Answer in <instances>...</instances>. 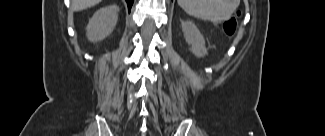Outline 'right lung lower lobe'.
<instances>
[{
  "mask_svg": "<svg viewBox=\"0 0 325 136\" xmlns=\"http://www.w3.org/2000/svg\"><path fill=\"white\" fill-rule=\"evenodd\" d=\"M126 2H127V4H128V10H129V12H130L134 0H126Z\"/></svg>",
  "mask_w": 325,
  "mask_h": 136,
  "instance_id": "98d812e1",
  "label": "right lung lower lobe"
}]
</instances>
